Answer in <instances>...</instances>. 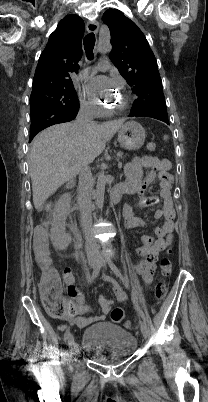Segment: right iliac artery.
<instances>
[{
  "mask_svg": "<svg viewBox=\"0 0 208 402\" xmlns=\"http://www.w3.org/2000/svg\"><path fill=\"white\" fill-rule=\"evenodd\" d=\"M101 265H102V262H101V261L97 263L96 267H95L94 270H93L92 276H91V278H90V280H89L90 283H92L93 280L99 275V272H100V269H101ZM69 336H70V327L67 328V330H66V332H65V334H64V341H65V342H67Z\"/></svg>",
  "mask_w": 208,
  "mask_h": 402,
  "instance_id": "82829eb1",
  "label": "right iliac artery"
}]
</instances>
